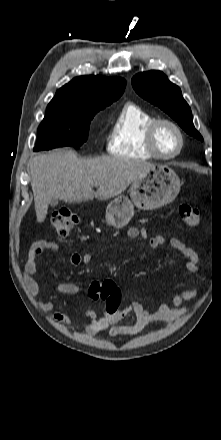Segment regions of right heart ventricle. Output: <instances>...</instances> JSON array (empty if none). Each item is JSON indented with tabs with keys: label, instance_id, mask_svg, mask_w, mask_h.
I'll return each mask as SVG.
<instances>
[{
	"label": "right heart ventricle",
	"instance_id": "obj_1",
	"mask_svg": "<svg viewBox=\"0 0 221 440\" xmlns=\"http://www.w3.org/2000/svg\"><path fill=\"white\" fill-rule=\"evenodd\" d=\"M155 116L133 102H127L121 108L112 125L108 142V152L121 158L150 159L146 144V129Z\"/></svg>",
	"mask_w": 221,
	"mask_h": 440
}]
</instances>
